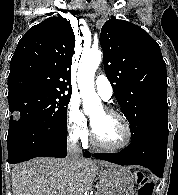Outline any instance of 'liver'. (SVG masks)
<instances>
[{"mask_svg":"<svg viewBox=\"0 0 178 195\" xmlns=\"http://www.w3.org/2000/svg\"><path fill=\"white\" fill-rule=\"evenodd\" d=\"M112 165L81 158L73 170L67 158H35L13 166V195H84L92 188L99 167Z\"/></svg>","mask_w":178,"mask_h":195,"instance_id":"liver-1","label":"liver"}]
</instances>
